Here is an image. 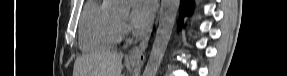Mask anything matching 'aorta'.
I'll use <instances>...</instances> for the list:
<instances>
[{"label": "aorta", "mask_w": 287, "mask_h": 76, "mask_svg": "<svg viewBox=\"0 0 287 76\" xmlns=\"http://www.w3.org/2000/svg\"><path fill=\"white\" fill-rule=\"evenodd\" d=\"M180 0H162L159 24L143 76H156L169 44Z\"/></svg>", "instance_id": "obj_1"}]
</instances>
